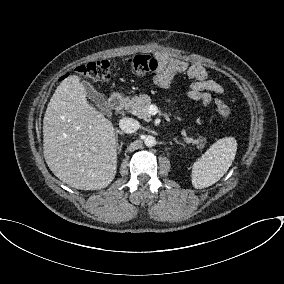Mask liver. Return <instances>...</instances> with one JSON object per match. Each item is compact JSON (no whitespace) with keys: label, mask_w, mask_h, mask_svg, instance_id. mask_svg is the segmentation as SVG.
Listing matches in <instances>:
<instances>
[{"label":"liver","mask_w":284,"mask_h":284,"mask_svg":"<svg viewBox=\"0 0 284 284\" xmlns=\"http://www.w3.org/2000/svg\"><path fill=\"white\" fill-rule=\"evenodd\" d=\"M86 95L77 75L56 88L43 119V152L61 181L80 190H99L115 177L117 144L112 122Z\"/></svg>","instance_id":"1"}]
</instances>
